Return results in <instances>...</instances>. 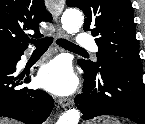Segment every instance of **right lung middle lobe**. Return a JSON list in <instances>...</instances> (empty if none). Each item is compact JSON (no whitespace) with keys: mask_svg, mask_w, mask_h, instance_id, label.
I'll list each match as a JSON object with an SVG mask.
<instances>
[{"mask_svg":"<svg viewBox=\"0 0 145 124\" xmlns=\"http://www.w3.org/2000/svg\"><path fill=\"white\" fill-rule=\"evenodd\" d=\"M1 55H8V54H6V53H1V52H0V56H1Z\"/></svg>","mask_w":145,"mask_h":124,"instance_id":"obj_1","label":"right lung middle lobe"}]
</instances>
